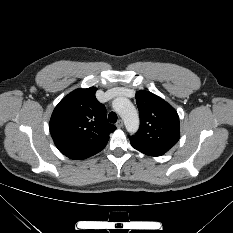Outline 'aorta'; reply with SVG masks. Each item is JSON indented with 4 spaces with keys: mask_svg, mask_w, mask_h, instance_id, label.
Masks as SVG:
<instances>
[{
    "mask_svg": "<svg viewBox=\"0 0 233 233\" xmlns=\"http://www.w3.org/2000/svg\"><path fill=\"white\" fill-rule=\"evenodd\" d=\"M114 110L121 116L129 133H135L139 128V116L131 101L125 97L113 100Z\"/></svg>",
    "mask_w": 233,
    "mask_h": 233,
    "instance_id": "1",
    "label": "aorta"
}]
</instances>
